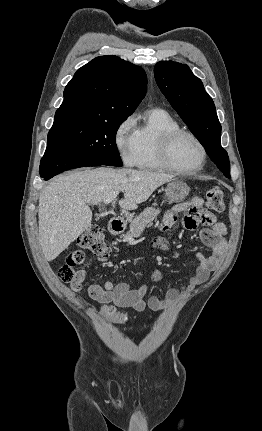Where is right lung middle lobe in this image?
<instances>
[{"label":"right lung middle lobe","mask_w":262,"mask_h":431,"mask_svg":"<svg viewBox=\"0 0 262 431\" xmlns=\"http://www.w3.org/2000/svg\"><path fill=\"white\" fill-rule=\"evenodd\" d=\"M125 119H87L53 125L43 158L83 159L121 167L116 132Z\"/></svg>","instance_id":"1"}]
</instances>
